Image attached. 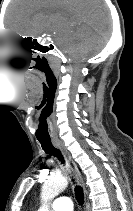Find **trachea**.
<instances>
[{"mask_svg":"<svg viewBox=\"0 0 133 211\" xmlns=\"http://www.w3.org/2000/svg\"><path fill=\"white\" fill-rule=\"evenodd\" d=\"M43 150L53 156H56L60 159L62 163H64V159L61 155L60 150L54 147L51 141H39ZM75 196L79 204H83V189L80 186H75Z\"/></svg>","mask_w":133,"mask_h":211,"instance_id":"3493384b","label":"trachea"}]
</instances>
